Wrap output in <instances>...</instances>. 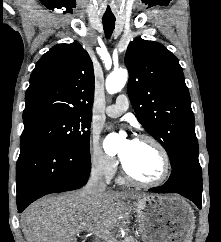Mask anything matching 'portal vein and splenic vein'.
I'll return each mask as SVG.
<instances>
[{
    "label": "portal vein and splenic vein",
    "mask_w": 221,
    "mask_h": 242,
    "mask_svg": "<svg viewBox=\"0 0 221 242\" xmlns=\"http://www.w3.org/2000/svg\"><path fill=\"white\" fill-rule=\"evenodd\" d=\"M88 231L93 232V233H95L97 236H99V237H103V238H106V237H107V234H108V231H106V230H104V229H101V230H94V229L89 228Z\"/></svg>",
    "instance_id": "obj_1"
}]
</instances>
